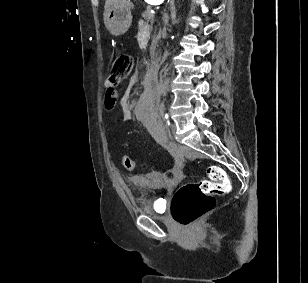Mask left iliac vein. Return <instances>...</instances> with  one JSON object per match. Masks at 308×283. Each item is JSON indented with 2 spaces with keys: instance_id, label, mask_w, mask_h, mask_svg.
I'll list each match as a JSON object with an SVG mask.
<instances>
[{
  "instance_id": "1",
  "label": "left iliac vein",
  "mask_w": 308,
  "mask_h": 283,
  "mask_svg": "<svg viewBox=\"0 0 308 283\" xmlns=\"http://www.w3.org/2000/svg\"><path fill=\"white\" fill-rule=\"evenodd\" d=\"M175 132H176V125L172 123L170 128L166 131L165 138L167 140H173Z\"/></svg>"
}]
</instances>
